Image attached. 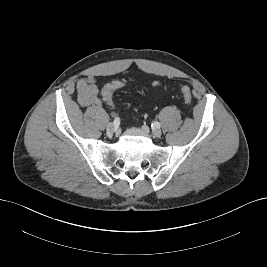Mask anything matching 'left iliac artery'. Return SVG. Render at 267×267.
I'll use <instances>...</instances> for the list:
<instances>
[{
    "instance_id": "44dca946",
    "label": "left iliac artery",
    "mask_w": 267,
    "mask_h": 267,
    "mask_svg": "<svg viewBox=\"0 0 267 267\" xmlns=\"http://www.w3.org/2000/svg\"><path fill=\"white\" fill-rule=\"evenodd\" d=\"M154 127H156V128H160V123L159 122H157V121H154L153 122V124H152Z\"/></svg>"
}]
</instances>
